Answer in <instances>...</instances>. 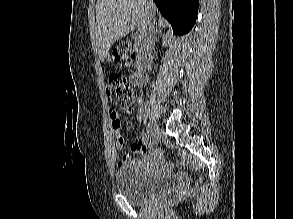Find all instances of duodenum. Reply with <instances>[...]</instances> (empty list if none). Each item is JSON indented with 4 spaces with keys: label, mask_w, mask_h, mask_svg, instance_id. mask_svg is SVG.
Listing matches in <instances>:
<instances>
[{
    "label": "duodenum",
    "mask_w": 293,
    "mask_h": 219,
    "mask_svg": "<svg viewBox=\"0 0 293 219\" xmlns=\"http://www.w3.org/2000/svg\"><path fill=\"white\" fill-rule=\"evenodd\" d=\"M133 51L137 57L136 71L131 76V82L135 87H143L146 84L145 70L149 64V56L140 42L133 44Z\"/></svg>",
    "instance_id": "410a0bca"
}]
</instances>
